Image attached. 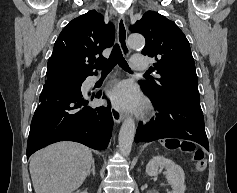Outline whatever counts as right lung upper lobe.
<instances>
[{"label": "right lung upper lobe", "mask_w": 237, "mask_h": 193, "mask_svg": "<svg viewBox=\"0 0 237 193\" xmlns=\"http://www.w3.org/2000/svg\"><path fill=\"white\" fill-rule=\"evenodd\" d=\"M114 42V26L105 24L104 17L91 10L73 19L57 38L47 71L57 70L70 76L86 78L92 72L95 55Z\"/></svg>", "instance_id": "1"}]
</instances>
